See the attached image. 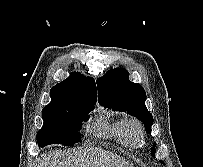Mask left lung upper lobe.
Here are the masks:
<instances>
[{
	"label": "left lung upper lobe",
	"instance_id": "5c2ea615",
	"mask_svg": "<svg viewBox=\"0 0 203 167\" xmlns=\"http://www.w3.org/2000/svg\"><path fill=\"white\" fill-rule=\"evenodd\" d=\"M128 76L129 73L124 68H115L99 78L97 80L99 103L112 110L135 116L145 124L146 132L151 133L153 117L145 105V90L140 84L131 82ZM151 155L155 157L154 148Z\"/></svg>",
	"mask_w": 203,
	"mask_h": 167
}]
</instances>
